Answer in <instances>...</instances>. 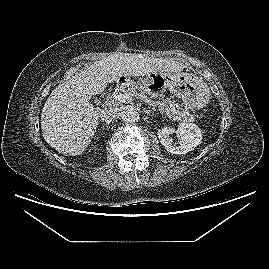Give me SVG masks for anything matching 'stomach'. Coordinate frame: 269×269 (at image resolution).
<instances>
[{"instance_id": "1", "label": "stomach", "mask_w": 269, "mask_h": 269, "mask_svg": "<svg viewBox=\"0 0 269 269\" xmlns=\"http://www.w3.org/2000/svg\"><path fill=\"white\" fill-rule=\"evenodd\" d=\"M127 86L133 81L130 76H121L118 81ZM139 89L149 95H158L167 88L176 97L181 98L177 106L180 115L192 119V112L204 107L210 100V89L202 78L187 72H153L138 81Z\"/></svg>"}]
</instances>
